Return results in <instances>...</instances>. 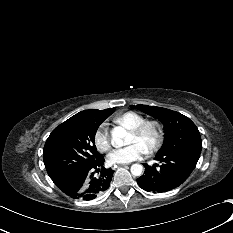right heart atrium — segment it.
I'll return each mask as SVG.
<instances>
[{
	"label": "right heart atrium",
	"mask_w": 233,
	"mask_h": 233,
	"mask_svg": "<svg viewBox=\"0 0 233 233\" xmlns=\"http://www.w3.org/2000/svg\"><path fill=\"white\" fill-rule=\"evenodd\" d=\"M94 144L101 152H107L110 149V138L105 126H101L95 131Z\"/></svg>",
	"instance_id": "d8ad5b80"
}]
</instances>
